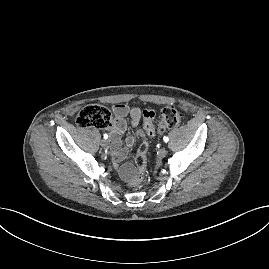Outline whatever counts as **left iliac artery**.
<instances>
[{
  "label": "left iliac artery",
  "instance_id": "left-iliac-artery-1",
  "mask_svg": "<svg viewBox=\"0 0 269 269\" xmlns=\"http://www.w3.org/2000/svg\"><path fill=\"white\" fill-rule=\"evenodd\" d=\"M163 141H164L165 143H167V142L169 141V138H168L167 136H164V137H163Z\"/></svg>",
  "mask_w": 269,
  "mask_h": 269
}]
</instances>
